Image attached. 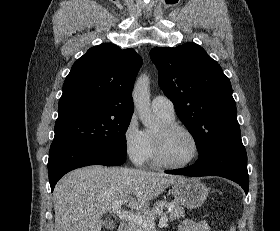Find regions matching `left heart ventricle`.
<instances>
[{
    "label": "left heart ventricle",
    "instance_id": "1",
    "mask_svg": "<svg viewBox=\"0 0 280 231\" xmlns=\"http://www.w3.org/2000/svg\"><path fill=\"white\" fill-rule=\"evenodd\" d=\"M154 134L161 138L164 154L170 161L183 163L193 158L195 143L186 132H166L162 125Z\"/></svg>",
    "mask_w": 280,
    "mask_h": 231
}]
</instances>
